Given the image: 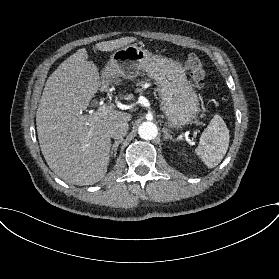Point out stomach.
Returning a JSON list of instances; mask_svg holds the SVG:
<instances>
[{
	"label": "stomach",
	"instance_id": "1",
	"mask_svg": "<svg viewBox=\"0 0 279 279\" xmlns=\"http://www.w3.org/2000/svg\"><path fill=\"white\" fill-rule=\"evenodd\" d=\"M106 66L116 70L118 77L133 79L144 71L154 79L169 127L181 128L200 112L198 96L187 80L185 68L172 58L131 44L114 51Z\"/></svg>",
	"mask_w": 279,
	"mask_h": 279
}]
</instances>
